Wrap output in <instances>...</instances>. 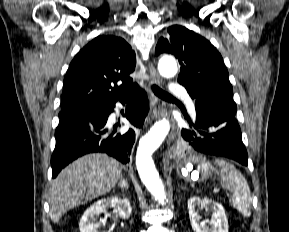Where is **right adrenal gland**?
<instances>
[{
  "mask_svg": "<svg viewBox=\"0 0 289 232\" xmlns=\"http://www.w3.org/2000/svg\"><path fill=\"white\" fill-rule=\"evenodd\" d=\"M118 187H120L123 190L129 188V184L127 183V181L124 179L123 176L120 177V182L118 183Z\"/></svg>",
  "mask_w": 289,
  "mask_h": 232,
  "instance_id": "right-adrenal-gland-1",
  "label": "right adrenal gland"
}]
</instances>
